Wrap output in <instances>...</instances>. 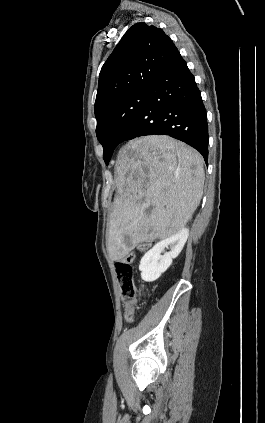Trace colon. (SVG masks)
Wrapping results in <instances>:
<instances>
[{
    "label": "colon",
    "mask_w": 265,
    "mask_h": 423,
    "mask_svg": "<svg viewBox=\"0 0 265 423\" xmlns=\"http://www.w3.org/2000/svg\"><path fill=\"white\" fill-rule=\"evenodd\" d=\"M133 260L134 255L128 254L124 258L117 260L115 263L116 275L121 283L122 298L128 307L125 312V318L129 322L134 318L132 307L140 294V291L134 282Z\"/></svg>",
    "instance_id": "colon-1"
}]
</instances>
